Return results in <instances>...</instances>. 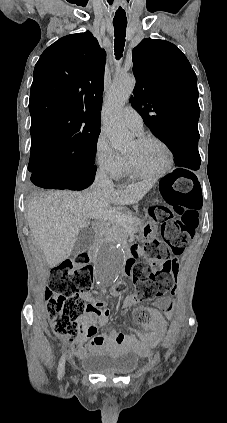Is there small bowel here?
<instances>
[{
    "mask_svg": "<svg viewBox=\"0 0 227 423\" xmlns=\"http://www.w3.org/2000/svg\"><path fill=\"white\" fill-rule=\"evenodd\" d=\"M175 290L176 286H174L172 293ZM103 292L99 288L94 294L85 296L89 303L80 322V331L76 338L70 342L73 352L81 358L87 357L92 352L101 349L125 348L135 350L139 354L146 353L148 345L157 342L165 333L166 322L164 317L160 313L154 312L151 314L149 322L144 324L145 331L154 332L153 337L148 342H141L133 330H128L124 334L105 328L98 333L97 326H105L109 318V310L106 308V303L102 298ZM140 302L141 300L136 294L120 299V305L123 308L137 305ZM155 306L170 314L173 310V301L171 299H160L155 302ZM88 339L90 340L88 341Z\"/></svg>",
    "mask_w": 227,
    "mask_h": 423,
    "instance_id": "1",
    "label": "small bowel"
}]
</instances>
